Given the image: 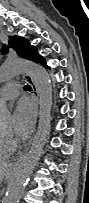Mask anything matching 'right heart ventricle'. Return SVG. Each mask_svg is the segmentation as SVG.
I'll return each instance as SVG.
<instances>
[{"label": "right heart ventricle", "mask_w": 89, "mask_h": 203, "mask_svg": "<svg viewBox=\"0 0 89 203\" xmlns=\"http://www.w3.org/2000/svg\"><path fill=\"white\" fill-rule=\"evenodd\" d=\"M13 153V146L4 134H0V160L7 159Z\"/></svg>", "instance_id": "1"}]
</instances>
